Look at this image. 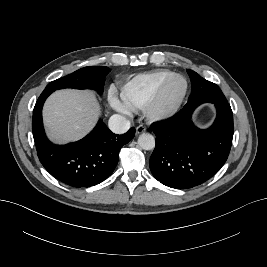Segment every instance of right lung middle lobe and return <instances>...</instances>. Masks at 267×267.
Returning <instances> with one entry per match:
<instances>
[{
  "mask_svg": "<svg viewBox=\"0 0 267 267\" xmlns=\"http://www.w3.org/2000/svg\"><path fill=\"white\" fill-rule=\"evenodd\" d=\"M110 69L105 66H89L79 69L72 74L49 83L44 91H55L62 88L87 89L103 91L104 78Z\"/></svg>",
  "mask_w": 267,
  "mask_h": 267,
  "instance_id": "obj_1",
  "label": "right lung middle lobe"
}]
</instances>
